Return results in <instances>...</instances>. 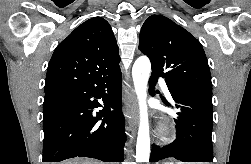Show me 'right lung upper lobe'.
Listing matches in <instances>:
<instances>
[{"instance_id":"1","label":"right lung upper lobe","mask_w":251,"mask_h":164,"mask_svg":"<svg viewBox=\"0 0 251 164\" xmlns=\"http://www.w3.org/2000/svg\"><path fill=\"white\" fill-rule=\"evenodd\" d=\"M118 45L109 23L91 18L55 49L48 65L45 93L106 76L119 67Z\"/></svg>"}]
</instances>
